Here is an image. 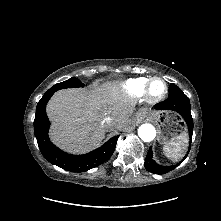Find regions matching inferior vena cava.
Segmentation results:
<instances>
[{
  "label": "inferior vena cava",
  "instance_id": "602c4592",
  "mask_svg": "<svg viewBox=\"0 0 221 221\" xmlns=\"http://www.w3.org/2000/svg\"><path fill=\"white\" fill-rule=\"evenodd\" d=\"M102 125L110 130L115 126V122L110 117H106L103 119Z\"/></svg>",
  "mask_w": 221,
  "mask_h": 221
}]
</instances>
